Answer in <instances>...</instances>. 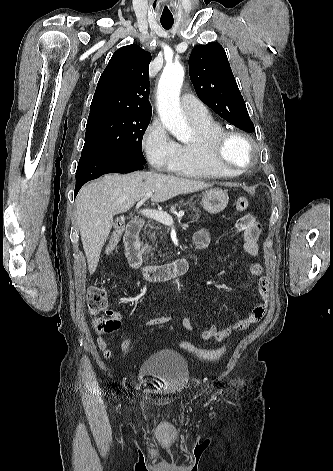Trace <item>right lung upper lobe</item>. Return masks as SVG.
Instances as JSON below:
<instances>
[{"label": "right lung upper lobe", "instance_id": "cb5924a9", "mask_svg": "<svg viewBox=\"0 0 333 471\" xmlns=\"http://www.w3.org/2000/svg\"><path fill=\"white\" fill-rule=\"evenodd\" d=\"M150 61L151 54L136 44L119 48L98 81L89 117L106 113L151 115Z\"/></svg>", "mask_w": 333, "mask_h": 471}]
</instances>
